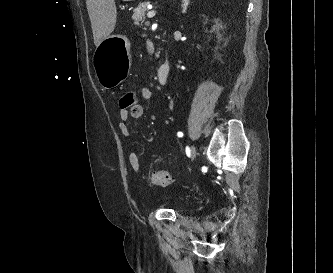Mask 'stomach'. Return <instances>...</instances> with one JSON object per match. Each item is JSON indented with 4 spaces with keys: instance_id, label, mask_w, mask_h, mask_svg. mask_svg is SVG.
Wrapping results in <instances>:
<instances>
[{
    "instance_id": "0dacf381",
    "label": "stomach",
    "mask_w": 333,
    "mask_h": 273,
    "mask_svg": "<svg viewBox=\"0 0 333 273\" xmlns=\"http://www.w3.org/2000/svg\"><path fill=\"white\" fill-rule=\"evenodd\" d=\"M129 50L130 42L121 34L111 35L97 46L93 64L96 81L102 87L113 88L123 81L127 70H130Z\"/></svg>"
}]
</instances>
